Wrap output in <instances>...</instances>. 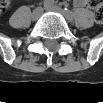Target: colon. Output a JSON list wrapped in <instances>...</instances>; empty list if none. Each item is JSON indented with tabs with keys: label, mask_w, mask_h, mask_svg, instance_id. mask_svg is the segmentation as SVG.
Masks as SVG:
<instances>
[{
	"label": "colon",
	"mask_w": 103,
	"mask_h": 103,
	"mask_svg": "<svg viewBox=\"0 0 103 103\" xmlns=\"http://www.w3.org/2000/svg\"><path fill=\"white\" fill-rule=\"evenodd\" d=\"M9 1H3L1 3L2 10H6L9 7ZM87 5L96 11V22L102 23L103 22V6L95 1H89L87 2Z\"/></svg>",
	"instance_id": "5ec220e1"
}]
</instances>
